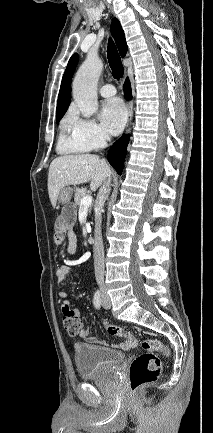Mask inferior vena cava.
Here are the masks:
<instances>
[{
    "label": "inferior vena cava",
    "mask_w": 213,
    "mask_h": 433,
    "mask_svg": "<svg viewBox=\"0 0 213 433\" xmlns=\"http://www.w3.org/2000/svg\"><path fill=\"white\" fill-rule=\"evenodd\" d=\"M107 140H110V137L107 136ZM110 177L106 179L104 184L101 186L99 190V194L97 197L96 202V209H95V243H94V267H95V277L97 284L102 292H104L105 285H104V246H103V240H102V233H101V223H102V216H101V210L103 208L104 202L110 192Z\"/></svg>",
    "instance_id": "602c4592"
}]
</instances>
